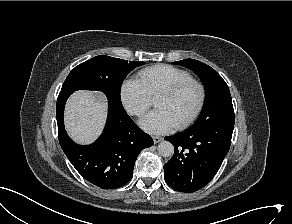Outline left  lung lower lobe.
I'll return each instance as SVG.
<instances>
[{
  "instance_id": "obj_1",
  "label": "left lung lower lobe",
  "mask_w": 292,
  "mask_h": 224,
  "mask_svg": "<svg viewBox=\"0 0 292 224\" xmlns=\"http://www.w3.org/2000/svg\"><path fill=\"white\" fill-rule=\"evenodd\" d=\"M233 128L234 118H230L165 137L175 147L173 157L164 165L166 183L186 193L208 184L229 151Z\"/></svg>"
}]
</instances>
